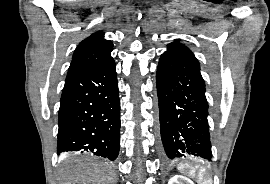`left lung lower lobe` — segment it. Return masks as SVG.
I'll return each mask as SVG.
<instances>
[{"label": "left lung lower lobe", "instance_id": "0a47b994", "mask_svg": "<svg viewBox=\"0 0 270 184\" xmlns=\"http://www.w3.org/2000/svg\"><path fill=\"white\" fill-rule=\"evenodd\" d=\"M156 83L160 150L165 163L181 157L211 161L208 102L200 70L186 58L164 52Z\"/></svg>", "mask_w": 270, "mask_h": 184}]
</instances>
